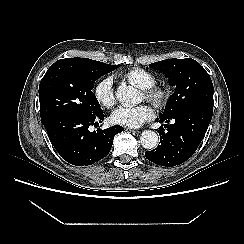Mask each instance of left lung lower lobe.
Segmentation results:
<instances>
[{
  "mask_svg": "<svg viewBox=\"0 0 244 244\" xmlns=\"http://www.w3.org/2000/svg\"><path fill=\"white\" fill-rule=\"evenodd\" d=\"M213 107L192 105L170 116H162L159 122L165 124L159 130L161 144L145 157L161 166H176L188 160L197 150L211 122ZM167 128V129H165Z\"/></svg>",
  "mask_w": 244,
  "mask_h": 244,
  "instance_id": "left-lung-lower-lobe-1",
  "label": "left lung lower lobe"
}]
</instances>
